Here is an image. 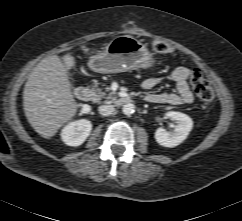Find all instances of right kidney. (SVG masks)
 I'll return each instance as SVG.
<instances>
[{
    "label": "right kidney",
    "mask_w": 242,
    "mask_h": 221,
    "mask_svg": "<svg viewBox=\"0 0 242 221\" xmlns=\"http://www.w3.org/2000/svg\"><path fill=\"white\" fill-rule=\"evenodd\" d=\"M91 129L92 124L89 120L71 122L62 129V141L68 146H79L90 135Z\"/></svg>",
    "instance_id": "obj_1"
}]
</instances>
